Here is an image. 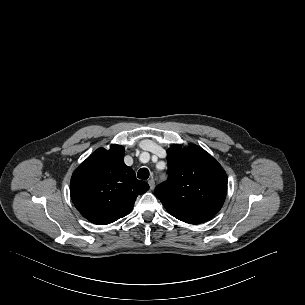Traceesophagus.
Listing matches in <instances>:
<instances>
[{"mask_svg":"<svg viewBox=\"0 0 305 305\" xmlns=\"http://www.w3.org/2000/svg\"><path fill=\"white\" fill-rule=\"evenodd\" d=\"M148 184H149L150 190H154V188H155V181H154V179H150L148 181Z\"/></svg>","mask_w":305,"mask_h":305,"instance_id":"esophagus-1","label":"esophagus"}]
</instances>
